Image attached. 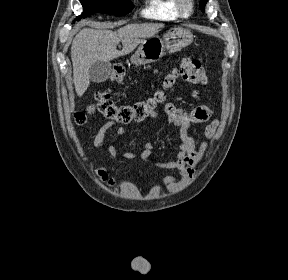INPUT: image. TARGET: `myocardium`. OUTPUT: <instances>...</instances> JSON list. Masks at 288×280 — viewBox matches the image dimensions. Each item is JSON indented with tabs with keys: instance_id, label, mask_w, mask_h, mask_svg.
Masks as SVG:
<instances>
[{
	"instance_id": "obj_1",
	"label": "myocardium",
	"mask_w": 288,
	"mask_h": 280,
	"mask_svg": "<svg viewBox=\"0 0 288 280\" xmlns=\"http://www.w3.org/2000/svg\"><path fill=\"white\" fill-rule=\"evenodd\" d=\"M178 14L183 18L190 17L194 12V0H175Z\"/></svg>"
}]
</instances>
